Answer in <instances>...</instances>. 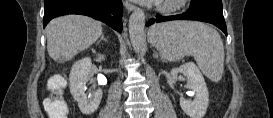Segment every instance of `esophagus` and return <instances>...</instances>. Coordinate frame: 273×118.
I'll return each instance as SVG.
<instances>
[{
    "label": "esophagus",
    "mask_w": 273,
    "mask_h": 118,
    "mask_svg": "<svg viewBox=\"0 0 273 118\" xmlns=\"http://www.w3.org/2000/svg\"><path fill=\"white\" fill-rule=\"evenodd\" d=\"M124 6H125V8L127 9L128 12H131V11H134V10L137 9V7L134 4H132V3L128 2V1L124 2Z\"/></svg>",
    "instance_id": "esophagus-1"
}]
</instances>
